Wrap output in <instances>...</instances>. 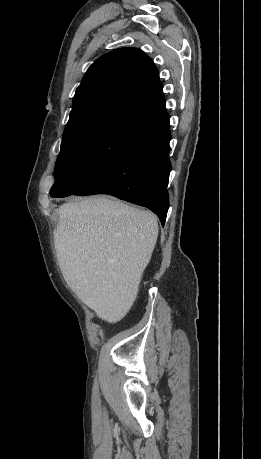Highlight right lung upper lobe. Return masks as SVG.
Returning a JSON list of instances; mask_svg holds the SVG:
<instances>
[{"label": "right lung upper lobe", "mask_w": 261, "mask_h": 459, "mask_svg": "<svg viewBox=\"0 0 261 459\" xmlns=\"http://www.w3.org/2000/svg\"><path fill=\"white\" fill-rule=\"evenodd\" d=\"M167 117L153 61L140 49L121 48L89 67L76 90L63 140L112 123L153 127Z\"/></svg>", "instance_id": "cb5924a9"}]
</instances>
